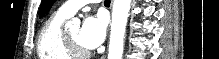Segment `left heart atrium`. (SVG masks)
Returning <instances> with one entry per match:
<instances>
[{
  "label": "left heart atrium",
  "instance_id": "obj_1",
  "mask_svg": "<svg viewBox=\"0 0 219 59\" xmlns=\"http://www.w3.org/2000/svg\"><path fill=\"white\" fill-rule=\"evenodd\" d=\"M105 33L106 21L102 16H87L80 29L79 39L85 48L94 49L103 42Z\"/></svg>",
  "mask_w": 219,
  "mask_h": 59
}]
</instances>
